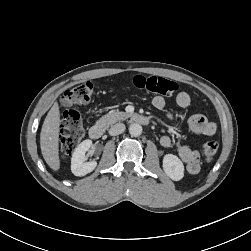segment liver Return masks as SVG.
<instances>
[{
  "label": "liver",
  "instance_id": "1",
  "mask_svg": "<svg viewBox=\"0 0 251 251\" xmlns=\"http://www.w3.org/2000/svg\"><path fill=\"white\" fill-rule=\"evenodd\" d=\"M60 111L57 102L49 110L40 133V147L43 158L48 166L58 171L60 168L59 160V125Z\"/></svg>",
  "mask_w": 251,
  "mask_h": 251
}]
</instances>
